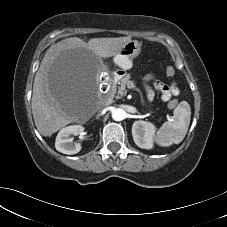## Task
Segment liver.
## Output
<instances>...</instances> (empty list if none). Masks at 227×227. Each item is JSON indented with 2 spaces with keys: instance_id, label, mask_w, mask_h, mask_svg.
Returning a JSON list of instances; mask_svg holds the SVG:
<instances>
[{
  "instance_id": "1",
  "label": "liver",
  "mask_w": 227,
  "mask_h": 227,
  "mask_svg": "<svg viewBox=\"0 0 227 227\" xmlns=\"http://www.w3.org/2000/svg\"><path fill=\"white\" fill-rule=\"evenodd\" d=\"M129 41L130 36L92 38L87 43L71 37L47 49L35 75L31 103L35 126L41 135L51 136L80 119V100L90 92L98 95L100 59L114 56ZM69 71L73 78L64 86Z\"/></svg>"
}]
</instances>
